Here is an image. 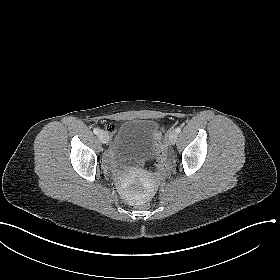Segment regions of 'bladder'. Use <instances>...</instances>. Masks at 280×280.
Wrapping results in <instances>:
<instances>
[{
	"instance_id": "obj_1",
	"label": "bladder",
	"mask_w": 280,
	"mask_h": 280,
	"mask_svg": "<svg viewBox=\"0 0 280 280\" xmlns=\"http://www.w3.org/2000/svg\"><path fill=\"white\" fill-rule=\"evenodd\" d=\"M158 122L153 119H127L120 123L110 147L118 155L151 158L158 149Z\"/></svg>"
}]
</instances>
